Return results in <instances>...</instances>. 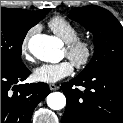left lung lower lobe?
<instances>
[{
	"mask_svg": "<svg viewBox=\"0 0 123 123\" xmlns=\"http://www.w3.org/2000/svg\"><path fill=\"white\" fill-rule=\"evenodd\" d=\"M61 87L67 99L62 123H123V65L78 75Z\"/></svg>",
	"mask_w": 123,
	"mask_h": 123,
	"instance_id": "0a47b994",
	"label": "left lung lower lobe"
}]
</instances>
